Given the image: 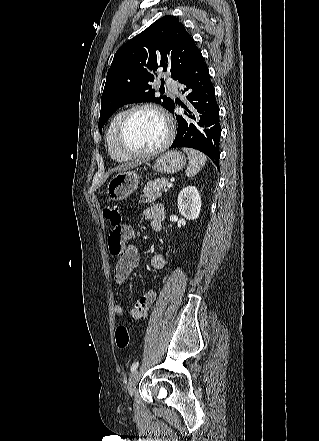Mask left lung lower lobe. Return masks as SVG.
Here are the masks:
<instances>
[{"label": "left lung lower lobe", "mask_w": 319, "mask_h": 441, "mask_svg": "<svg viewBox=\"0 0 319 441\" xmlns=\"http://www.w3.org/2000/svg\"><path fill=\"white\" fill-rule=\"evenodd\" d=\"M178 82L185 86L182 94L187 93L189 102L186 105L181 104L185 108V116L176 115L178 130L171 148L189 147L200 150L219 167V106L201 52L179 77ZM174 105L173 102L169 110L172 113Z\"/></svg>", "instance_id": "obj_1"}]
</instances>
